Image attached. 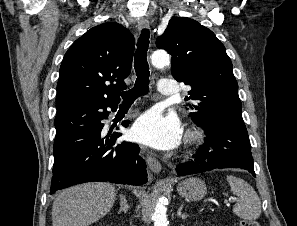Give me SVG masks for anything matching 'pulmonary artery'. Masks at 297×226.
<instances>
[{"label": "pulmonary artery", "mask_w": 297, "mask_h": 226, "mask_svg": "<svg viewBox=\"0 0 297 226\" xmlns=\"http://www.w3.org/2000/svg\"><path fill=\"white\" fill-rule=\"evenodd\" d=\"M158 92L166 96H175L177 94V86L172 79H161L158 82Z\"/></svg>", "instance_id": "1"}]
</instances>
